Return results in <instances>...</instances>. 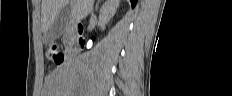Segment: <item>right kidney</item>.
I'll return each mask as SVG.
<instances>
[{"label":"right kidney","instance_id":"obj_1","mask_svg":"<svg viewBox=\"0 0 232 96\" xmlns=\"http://www.w3.org/2000/svg\"><path fill=\"white\" fill-rule=\"evenodd\" d=\"M118 6V0H106L100 9L99 20L104 24L108 23L114 16Z\"/></svg>","mask_w":232,"mask_h":96}]
</instances>
